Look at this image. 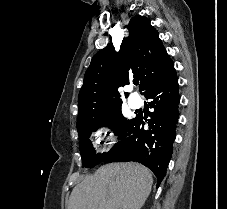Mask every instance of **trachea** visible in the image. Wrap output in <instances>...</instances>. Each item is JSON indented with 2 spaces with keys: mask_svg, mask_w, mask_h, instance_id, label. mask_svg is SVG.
<instances>
[{
  "mask_svg": "<svg viewBox=\"0 0 227 209\" xmlns=\"http://www.w3.org/2000/svg\"><path fill=\"white\" fill-rule=\"evenodd\" d=\"M133 83H134L135 85H138V84H139V81H138V80H134Z\"/></svg>",
  "mask_w": 227,
  "mask_h": 209,
  "instance_id": "1",
  "label": "trachea"
}]
</instances>
